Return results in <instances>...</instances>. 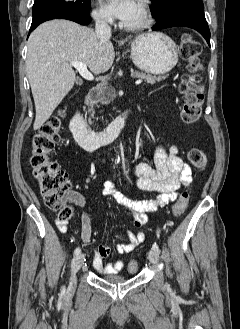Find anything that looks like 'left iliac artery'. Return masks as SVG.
Segmentation results:
<instances>
[{
	"mask_svg": "<svg viewBox=\"0 0 240 329\" xmlns=\"http://www.w3.org/2000/svg\"><path fill=\"white\" fill-rule=\"evenodd\" d=\"M152 249L159 252V247L156 243L152 245Z\"/></svg>",
	"mask_w": 240,
	"mask_h": 329,
	"instance_id": "left-iliac-artery-1",
	"label": "left iliac artery"
}]
</instances>
